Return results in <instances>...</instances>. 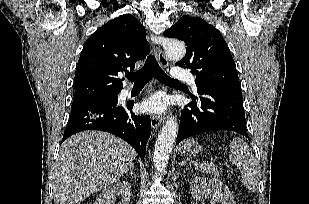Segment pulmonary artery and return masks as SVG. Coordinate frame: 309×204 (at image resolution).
Segmentation results:
<instances>
[{"instance_id":"obj_1","label":"pulmonary artery","mask_w":309,"mask_h":204,"mask_svg":"<svg viewBox=\"0 0 309 204\" xmlns=\"http://www.w3.org/2000/svg\"><path fill=\"white\" fill-rule=\"evenodd\" d=\"M171 74L173 79L187 81L193 88H196L195 76L193 73L184 69H174Z\"/></svg>"}]
</instances>
